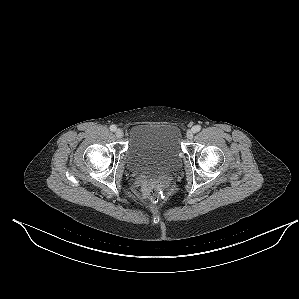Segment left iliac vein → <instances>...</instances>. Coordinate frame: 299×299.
<instances>
[{
  "label": "left iliac vein",
  "mask_w": 299,
  "mask_h": 299,
  "mask_svg": "<svg viewBox=\"0 0 299 299\" xmlns=\"http://www.w3.org/2000/svg\"><path fill=\"white\" fill-rule=\"evenodd\" d=\"M194 132L193 130H188L186 133V137L191 140L193 138Z\"/></svg>",
  "instance_id": "1"
}]
</instances>
